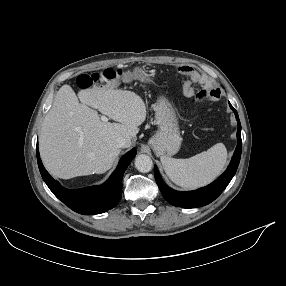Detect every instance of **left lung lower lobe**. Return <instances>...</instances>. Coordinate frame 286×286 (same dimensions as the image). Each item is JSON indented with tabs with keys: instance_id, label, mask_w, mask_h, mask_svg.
<instances>
[{
	"instance_id": "left-lung-lower-lobe-1",
	"label": "left lung lower lobe",
	"mask_w": 286,
	"mask_h": 286,
	"mask_svg": "<svg viewBox=\"0 0 286 286\" xmlns=\"http://www.w3.org/2000/svg\"><path fill=\"white\" fill-rule=\"evenodd\" d=\"M230 108L235 113L237 123H238V131H237V139L238 144L235 149L234 155L230 162V165L226 169V171L218 177L214 182L210 185L200 188L195 191L189 192H179L169 188L162 180L157 167H154V176L158 187L164 196V198L172 205L183 208H196L200 206L207 205L214 201L227 187L231 179L236 173L237 167L239 165L241 149H242V140H241V124L239 121V117L237 111L233 108V106L229 103Z\"/></svg>"
}]
</instances>
